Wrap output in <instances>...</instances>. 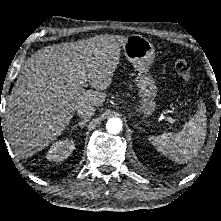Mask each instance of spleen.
Here are the masks:
<instances>
[{"label": "spleen", "instance_id": "obj_1", "mask_svg": "<svg viewBox=\"0 0 221 221\" xmlns=\"http://www.w3.org/2000/svg\"><path fill=\"white\" fill-rule=\"evenodd\" d=\"M205 107L201 104L197 114L187 122L184 128L174 133L152 136L149 141L154 148L176 163H187L195 158L206 138Z\"/></svg>", "mask_w": 221, "mask_h": 221}]
</instances>
